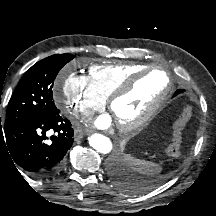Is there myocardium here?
I'll list each match as a JSON object with an SVG mask.
<instances>
[{
  "label": "myocardium",
  "instance_id": "f54148a6",
  "mask_svg": "<svg viewBox=\"0 0 216 216\" xmlns=\"http://www.w3.org/2000/svg\"><path fill=\"white\" fill-rule=\"evenodd\" d=\"M153 72H161L167 77V86L161 95L150 105V107L136 120L130 122H119L118 128L123 133H132L145 126L159 111L162 105L170 96L173 82L171 76L157 67H143L129 75L114 91L110 94L108 100V109L112 112L114 104L128 96L135 88L137 83Z\"/></svg>",
  "mask_w": 216,
  "mask_h": 216
}]
</instances>
